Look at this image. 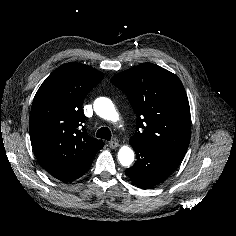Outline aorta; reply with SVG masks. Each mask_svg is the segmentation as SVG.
<instances>
[{"instance_id": "aorta-1", "label": "aorta", "mask_w": 236, "mask_h": 236, "mask_svg": "<svg viewBox=\"0 0 236 236\" xmlns=\"http://www.w3.org/2000/svg\"><path fill=\"white\" fill-rule=\"evenodd\" d=\"M94 111L101 118L116 122L119 118V115L114 107V104L110 99L101 98L95 101ZM118 160L121 165L127 167L130 166L134 161V152L129 146H122L118 152Z\"/></svg>"}]
</instances>
